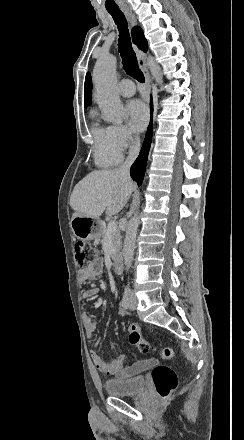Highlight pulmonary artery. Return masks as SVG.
Returning <instances> with one entry per match:
<instances>
[{"label": "pulmonary artery", "instance_id": "pulmonary-artery-1", "mask_svg": "<svg viewBox=\"0 0 244 440\" xmlns=\"http://www.w3.org/2000/svg\"><path fill=\"white\" fill-rule=\"evenodd\" d=\"M119 89L120 94L124 97H131L135 95V88L131 82H120Z\"/></svg>", "mask_w": 244, "mask_h": 440}]
</instances>
